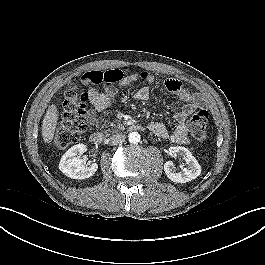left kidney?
<instances>
[{
	"label": "left kidney",
	"mask_w": 265,
	"mask_h": 265,
	"mask_svg": "<svg viewBox=\"0 0 265 265\" xmlns=\"http://www.w3.org/2000/svg\"><path fill=\"white\" fill-rule=\"evenodd\" d=\"M168 153L172 157H181L187 164L186 167H182L181 171L178 172L172 161H167L164 164V171L167 177L176 183H186L193 179H196L201 173V167L191 152L181 146L170 147Z\"/></svg>",
	"instance_id": "obj_1"
}]
</instances>
